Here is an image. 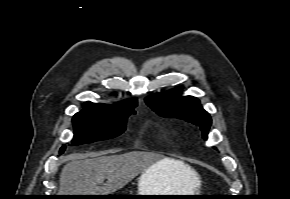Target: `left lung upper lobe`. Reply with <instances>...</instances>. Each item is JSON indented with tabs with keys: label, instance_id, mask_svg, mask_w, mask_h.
I'll return each mask as SVG.
<instances>
[{
	"label": "left lung upper lobe",
	"instance_id": "obj_1",
	"mask_svg": "<svg viewBox=\"0 0 290 199\" xmlns=\"http://www.w3.org/2000/svg\"><path fill=\"white\" fill-rule=\"evenodd\" d=\"M146 103L160 116L184 119L199 126L203 138L207 139L211 117L197 98L181 97L180 89H175L165 94H152L146 98Z\"/></svg>",
	"mask_w": 290,
	"mask_h": 199
}]
</instances>
